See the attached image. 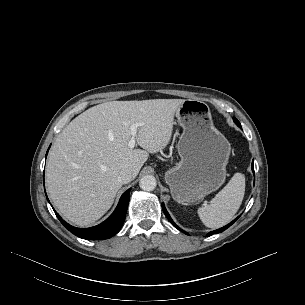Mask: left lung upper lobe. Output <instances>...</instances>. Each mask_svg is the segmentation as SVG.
Masks as SVG:
<instances>
[{
    "instance_id": "1",
    "label": "left lung upper lobe",
    "mask_w": 305,
    "mask_h": 305,
    "mask_svg": "<svg viewBox=\"0 0 305 305\" xmlns=\"http://www.w3.org/2000/svg\"><path fill=\"white\" fill-rule=\"evenodd\" d=\"M234 122L237 124V126L241 127L239 121L236 118H233Z\"/></svg>"
}]
</instances>
